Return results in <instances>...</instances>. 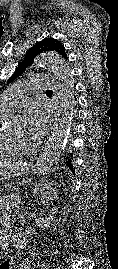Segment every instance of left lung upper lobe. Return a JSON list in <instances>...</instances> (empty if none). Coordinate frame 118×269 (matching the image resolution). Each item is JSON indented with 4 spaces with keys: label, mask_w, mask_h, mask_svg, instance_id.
I'll return each instance as SVG.
<instances>
[{
    "label": "left lung upper lobe",
    "mask_w": 118,
    "mask_h": 269,
    "mask_svg": "<svg viewBox=\"0 0 118 269\" xmlns=\"http://www.w3.org/2000/svg\"><path fill=\"white\" fill-rule=\"evenodd\" d=\"M46 51L57 52L64 59H66V60L68 59L67 55L65 53V48L59 41L52 39V38L43 39L42 41H40L39 43H37L35 46L31 47L28 50L24 60L19 64L15 73L8 80V83L15 80L18 76H20L25 71V69L27 67L31 66L34 62V58L37 55H39L42 52H46Z\"/></svg>",
    "instance_id": "1"
}]
</instances>
